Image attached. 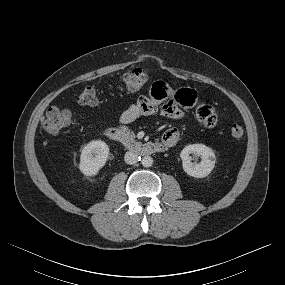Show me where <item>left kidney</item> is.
Returning a JSON list of instances; mask_svg holds the SVG:
<instances>
[{"instance_id": "1", "label": "left kidney", "mask_w": 285, "mask_h": 285, "mask_svg": "<svg viewBox=\"0 0 285 285\" xmlns=\"http://www.w3.org/2000/svg\"><path fill=\"white\" fill-rule=\"evenodd\" d=\"M190 154L201 156L199 163H192ZM184 171L195 178L208 176L215 166V153L204 144H191L186 146L180 153Z\"/></svg>"}]
</instances>
